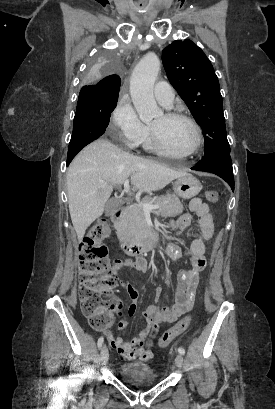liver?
I'll return each mask as SVG.
<instances>
[{"instance_id":"1","label":"liver","mask_w":275,"mask_h":409,"mask_svg":"<svg viewBox=\"0 0 275 409\" xmlns=\"http://www.w3.org/2000/svg\"><path fill=\"white\" fill-rule=\"evenodd\" d=\"M130 174L139 190H159L188 172L129 154L107 138L94 140L75 156L67 170L69 213L79 243L91 223L103 215L113 184H123Z\"/></svg>"}]
</instances>
